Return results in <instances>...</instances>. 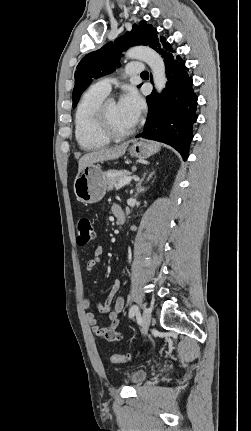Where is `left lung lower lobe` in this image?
<instances>
[{"label": "left lung lower lobe", "mask_w": 251, "mask_h": 431, "mask_svg": "<svg viewBox=\"0 0 251 431\" xmlns=\"http://www.w3.org/2000/svg\"><path fill=\"white\" fill-rule=\"evenodd\" d=\"M152 48L163 58L168 81L161 98L154 93L146 97L148 116L143 132L136 137L171 145L186 160L193 138V123L197 119V96L193 93L192 78L185 62L175 55L165 38L160 37Z\"/></svg>", "instance_id": "0a47b994"}]
</instances>
